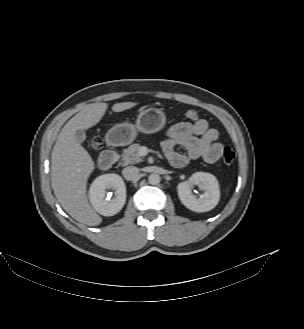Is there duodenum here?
<instances>
[{
  "mask_svg": "<svg viewBox=\"0 0 304 329\" xmlns=\"http://www.w3.org/2000/svg\"><path fill=\"white\" fill-rule=\"evenodd\" d=\"M116 160L117 154L110 148L101 153L98 164L100 169L108 170L116 162Z\"/></svg>",
  "mask_w": 304,
  "mask_h": 329,
  "instance_id": "duodenum-1",
  "label": "duodenum"
}]
</instances>
